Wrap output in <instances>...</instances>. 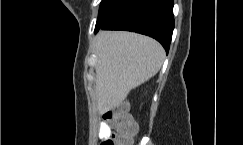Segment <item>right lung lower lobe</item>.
<instances>
[{
    "label": "right lung lower lobe",
    "mask_w": 243,
    "mask_h": 145,
    "mask_svg": "<svg viewBox=\"0 0 243 145\" xmlns=\"http://www.w3.org/2000/svg\"><path fill=\"white\" fill-rule=\"evenodd\" d=\"M99 29L148 35L168 53L174 29L173 0H102L95 33Z\"/></svg>",
    "instance_id": "obj_1"
}]
</instances>
